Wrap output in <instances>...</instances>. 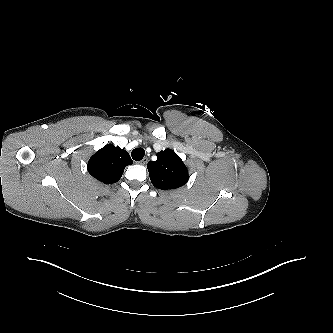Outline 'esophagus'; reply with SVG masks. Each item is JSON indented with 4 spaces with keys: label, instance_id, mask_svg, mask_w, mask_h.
<instances>
[{
    "label": "esophagus",
    "instance_id": "esophagus-1",
    "mask_svg": "<svg viewBox=\"0 0 333 333\" xmlns=\"http://www.w3.org/2000/svg\"><path fill=\"white\" fill-rule=\"evenodd\" d=\"M147 162H148V158H147V157H144L142 160H140V161L138 162V164H140V165H146Z\"/></svg>",
    "mask_w": 333,
    "mask_h": 333
}]
</instances>
